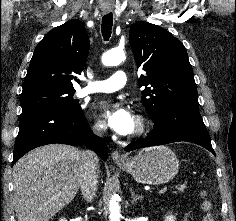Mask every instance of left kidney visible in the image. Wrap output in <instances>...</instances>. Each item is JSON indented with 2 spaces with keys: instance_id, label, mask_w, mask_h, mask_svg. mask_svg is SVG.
<instances>
[{
  "instance_id": "1",
  "label": "left kidney",
  "mask_w": 236,
  "mask_h": 221,
  "mask_svg": "<svg viewBox=\"0 0 236 221\" xmlns=\"http://www.w3.org/2000/svg\"><path fill=\"white\" fill-rule=\"evenodd\" d=\"M175 220H176L175 216L170 215L166 216L164 221H175Z\"/></svg>"
}]
</instances>
